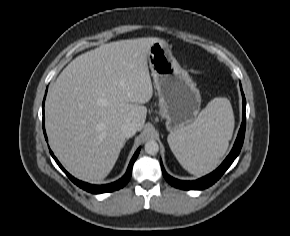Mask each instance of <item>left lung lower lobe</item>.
Masks as SVG:
<instances>
[{"mask_svg": "<svg viewBox=\"0 0 290 236\" xmlns=\"http://www.w3.org/2000/svg\"><path fill=\"white\" fill-rule=\"evenodd\" d=\"M241 87V85H240ZM241 92H242V99H243V116H242V124L241 128L239 130L237 139L235 141V144L230 152V154L227 156V158L223 161V163L212 173L208 174L207 176H204L198 180L195 181H181L178 179H175L171 176H169L166 171L163 168V165L161 163V168L163 172V176L166 179V181L171 184L172 186L184 190H201L208 188L209 186L213 185L219 178L225 173V171L231 166L235 158L238 156L240 153V150L243 145L244 141V135H245V128H246V115H245V110H246V100L244 93L242 91L241 87Z\"/></svg>", "mask_w": 290, "mask_h": 236, "instance_id": "0a47b994", "label": "left lung lower lobe"}]
</instances>
